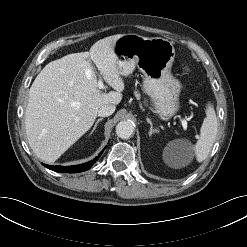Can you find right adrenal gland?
<instances>
[{"instance_id": "2a0ac1e0", "label": "right adrenal gland", "mask_w": 247, "mask_h": 247, "mask_svg": "<svg viewBox=\"0 0 247 247\" xmlns=\"http://www.w3.org/2000/svg\"><path fill=\"white\" fill-rule=\"evenodd\" d=\"M102 120H103V118H99V119L96 121V123H95L93 129L91 130L90 134H92V133L94 132V130L96 129L97 125H98L99 122L102 121Z\"/></svg>"}]
</instances>
